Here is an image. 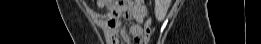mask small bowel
Instances as JSON below:
<instances>
[{"instance_id":"obj_1","label":"small bowel","mask_w":261,"mask_h":44,"mask_svg":"<svg viewBox=\"0 0 261 44\" xmlns=\"http://www.w3.org/2000/svg\"><path fill=\"white\" fill-rule=\"evenodd\" d=\"M134 6L107 5L110 8L108 17L104 23L107 40L112 44H138L137 40L143 31V21L147 14L144 1H134ZM131 17L135 23L130 27L129 33L125 31L123 18Z\"/></svg>"}]
</instances>
